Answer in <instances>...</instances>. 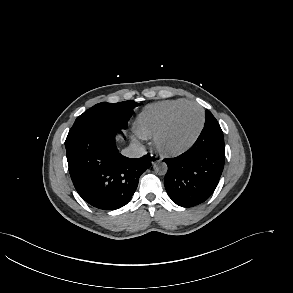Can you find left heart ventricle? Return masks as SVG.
<instances>
[{
  "instance_id": "b2bd125f",
  "label": "left heart ventricle",
  "mask_w": 293,
  "mask_h": 293,
  "mask_svg": "<svg viewBox=\"0 0 293 293\" xmlns=\"http://www.w3.org/2000/svg\"><path fill=\"white\" fill-rule=\"evenodd\" d=\"M201 123L200 111L195 107L183 108L174 118L161 140L166 149H179L195 136Z\"/></svg>"
}]
</instances>
